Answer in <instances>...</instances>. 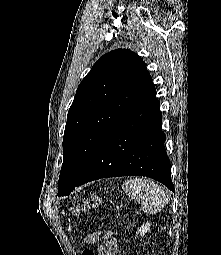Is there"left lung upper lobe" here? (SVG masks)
<instances>
[{"label":"left lung upper lobe","instance_id":"5c2ea615","mask_svg":"<svg viewBox=\"0 0 221 255\" xmlns=\"http://www.w3.org/2000/svg\"><path fill=\"white\" fill-rule=\"evenodd\" d=\"M153 89L145 63L130 50H113L94 64L68 112L59 196L73 191L110 129Z\"/></svg>","mask_w":221,"mask_h":255}]
</instances>
